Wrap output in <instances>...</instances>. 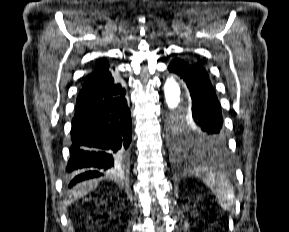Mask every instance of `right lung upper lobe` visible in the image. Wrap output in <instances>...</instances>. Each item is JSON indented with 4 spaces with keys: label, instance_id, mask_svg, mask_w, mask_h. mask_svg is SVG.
Returning <instances> with one entry per match:
<instances>
[{
    "label": "right lung upper lobe",
    "instance_id": "right-lung-upper-lobe-1",
    "mask_svg": "<svg viewBox=\"0 0 289 232\" xmlns=\"http://www.w3.org/2000/svg\"><path fill=\"white\" fill-rule=\"evenodd\" d=\"M113 67L105 59L90 73L77 98V105L113 98L124 91L118 78L111 74Z\"/></svg>",
    "mask_w": 289,
    "mask_h": 232
}]
</instances>
